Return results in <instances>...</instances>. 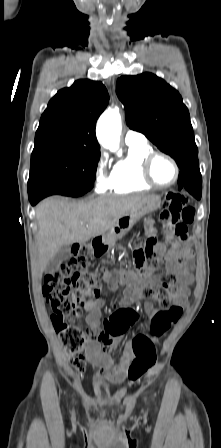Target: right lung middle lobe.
Masks as SVG:
<instances>
[{"mask_svg":"<svg viewBox=\"0 0 221 448\" xmlns=\"http://www.w3.org/2000/svg\"><path fill=\"white\" fill-rule=\"evenodd\" d=\"M100 150L77 144L34 148L28 186L50 184L70 193L92 189Z\"/></svg>","mask_w":221,"mask_h":448,"instance_id":"obj_1","label":"right lung middle lobe"}]
</instances>
